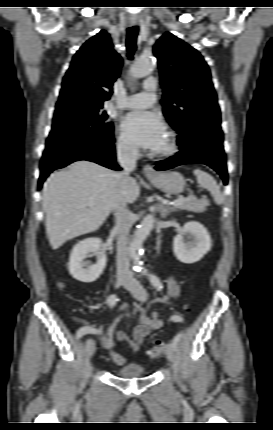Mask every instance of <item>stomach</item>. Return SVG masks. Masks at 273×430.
Listing matches in <instances>:
<instances>
[{
	"instance_id": "stomach-1",
	"label": "stomach",
	"mask_w": 273,
	"mask_h": 430,
	"mask_svg": "<svg viewBox=\"0 0 273 430\" xmlns=\"http://www.w3.org/2000/svg\"><path fill=\"white\" fill-rule=\"evenodd\" d=\"M148 179L156 188L168 194H179L185 187L183 176L176 171L158 172L148 176Z\"/></svg>"
}]
</instances>
